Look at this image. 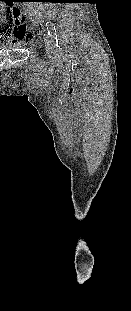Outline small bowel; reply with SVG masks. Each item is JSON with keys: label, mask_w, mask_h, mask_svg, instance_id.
<instances>
[{"label": "small bowel", "mask_w": 131, "mask_h": 311, "mask_svg": "<svg viewBox=\"0 0 131 311\" xmlns=\"http://www.w3.org/2000/svg\"><path fill=\"white\" fill-rule=\"evenodd\" d=\"M33 17L35 19H42V14L35 13L33 14ZM16 31H19L20 33H17ZM10 37H12L13 42H18L22 44H30L35 39L34 33L26 32V29L22 30L21 28H16L14 31L10 32ZM6 39V33L1 32L0 33V40Z\"/></svg>", "instance_id": "c3829d8e"}]
</instances>
